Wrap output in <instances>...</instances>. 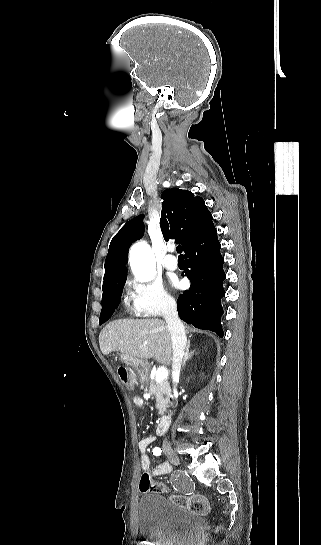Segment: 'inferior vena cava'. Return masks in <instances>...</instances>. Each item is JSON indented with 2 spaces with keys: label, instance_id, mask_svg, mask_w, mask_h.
Returning a JSON list of instances; mask_svg holds the SVG:
<instances>
[{
  "label": "inferior vena cava",
  "instance_id": "inferior-vena-cava-1",
  "mask_svg": "<svg viewBox=\"0 0 321 545\" xmlns=\"http://www.w3.org/2000/svg\"><path fill=\"white\" fill-rule=\"evenodd\" d=\"M164 319L169 327L173 351L172 359V377H173V387L176 391L177 383L175 381L176 375H179L181 369L182 359L185 355L186 347V335L185 327L181 323L174 299H166L164 309H163ZM163 448L169 449L170 443L165 439L163 441Z\"/></svg>",
  "mask_w": 321,
  "mask_h": 545
}]
</instances>
